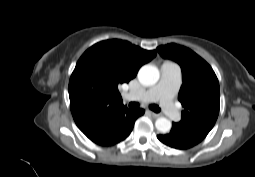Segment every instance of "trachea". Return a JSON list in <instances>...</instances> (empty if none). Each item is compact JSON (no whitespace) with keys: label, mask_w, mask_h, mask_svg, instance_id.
Wrapping results in <instances>:
<instances>
[{"label":"trachea","mask_w":255,"mask_h":177,"mask_svg":"<svg viewBox=\"0 0 255 177\" xmlns=\"http://www.w3.org/2000/svg\"><path fill=\"white\" fill-rule=\"evenodd\" d=\"M138 107H139V103H138V102H130V103H129V108L136 109V108H138ZM149 108H150L151 110H153L154 112H156V113L160 112L159 106H157V105H155V104L149 105Z\"/></svg>","instance_id":"3493384b"}]
</instances>
